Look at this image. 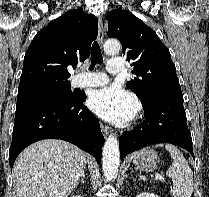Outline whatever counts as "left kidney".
Wrapping results in <instances>:
<instances>
[{
  "label": "left kidney",
  "instance_id": "5707ae66",
  "mask_svg": "<svg viewBox=\"0 0 209 197\" xmlns=\"http://www.w3.org/2000/svg\"><path fill=\"white\" fill-rule=\"evenodd\" d=\"M136 197H159L156 194L149 193V192H142L141 194L137 195Z\"/></svg>",
  "mask_w": 209,
  "mask_h": 197
}]
</instances>
